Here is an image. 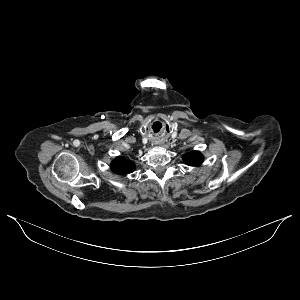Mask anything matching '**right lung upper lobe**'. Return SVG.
<instances>
[{
    "mask_svg": "<svg viewBox=\"0 0 300 300\" xmlns=\"http://www.w3.org/2000/svg\"><path fill=\"white\" fill-rule=\"evenodd\" d=\"M134 169V163L126 161L123 157H118L111 162V170L116 174H128L133 172Z\"/></svg>",
    "mask_w": 300,
    "mask_h": 300,
    "instance_id": "right-lung-upper-lobe-1",
    "label": "right lung upper lobe"
}]
</instances>
